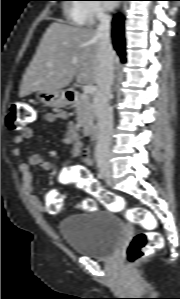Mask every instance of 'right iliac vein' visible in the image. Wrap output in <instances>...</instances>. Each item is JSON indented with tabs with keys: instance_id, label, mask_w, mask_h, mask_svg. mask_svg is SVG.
Wrapping results in <instances>:
<instances>
[{
	"instance_id": "1",
	"label": "right iliac vein",
	"mask_w": 180,
	"mask_h": 299,
	"mask_svg": "<svg viewBox=\"0 0 180 299\" xmlns=\"http://www.w3.org/2000/svg\"><path fill=\"white\" fill-rule=\"evenodd\" d=\"M98 167L102 173H104L106 176L110 177L111 167L105 158H101L99 160Z\"/></svg>"
}]
</instances>
